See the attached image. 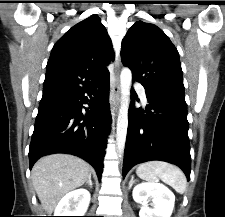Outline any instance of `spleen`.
Listing matches in <instances>:
<instances>
[{
	"label": "spleen",
	"instance_id": "obj_1",
	"mask_svg": "<svg viewBox=\"0 0 225 217\" xmlns=\"http://www.w3.org/2000/svg\"><path fill=\"white\" fill-rule=\"evenodd\" d=\"M136 173L140 178L150 182L161 179L180 194L186 190V176L180 168L168 162L155 160L142 163L136 169Z\"/></svg>",
	"mask_w": 225,
	"mask_h": 217
}]
</instances>
